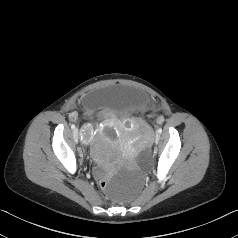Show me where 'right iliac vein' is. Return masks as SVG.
<instances>
[{"mask_svg":"<svg viewBox=\"0 0 238 238\" xmlns=\"http://www.w3.org/2000/svg\"><path fill=\"white\" fill-rule=\"evenodd\" d=\"M73 135H74L75 138H78V136H79V131H78L77 128H75V129L73 130Z\"/></svg>","mask_w":238,"mask_h":238,"instance_id":"obj_1","label":"right iliac vein"}]
</instances>
